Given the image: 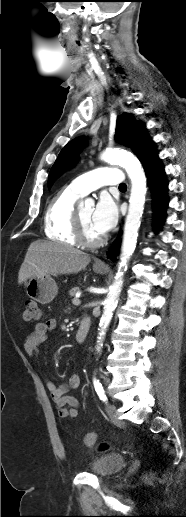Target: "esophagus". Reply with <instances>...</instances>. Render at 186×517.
Instances as JSON below:
<instances>
[{
    "instance_id": "34e87169",
    "label": "esophagus",
    "mask_w": 186,
    "mask_h": 517,
    "mask_svg": "<svg viewBox=\"0 0 186 517\" xmlns=\"http://www.w3.org/2000/svg\"><path fill=\"white\" fill-rule=\"evenodd\" d=\"M95 264H96V265H99V266H104V263H103L102 261H100V260H97V261L95 262Z\"/></svg>"
}]
</instances>
